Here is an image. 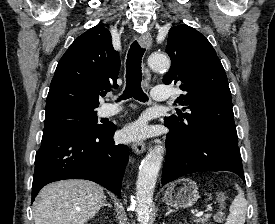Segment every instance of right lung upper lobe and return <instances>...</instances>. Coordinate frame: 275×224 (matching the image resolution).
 <instances>
[{"instance_id":"obj_1","label":"right lung upper lobe","mask_w":275,"mask_h":224,"mask_svg":"<svg viewBox=\"0 0 275 224\" xmlns=\"http://www.w3.org/2000/svg\"><path fill=\"white\" fill-rule=\"evenodd\" d=\"M119 53L111 33L97 25L80 35L61 57L46 101V113L63 107L96 109L102 90L118 87Z\"/></svg>"}]
</instances>
